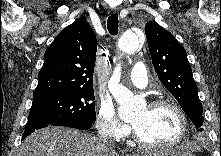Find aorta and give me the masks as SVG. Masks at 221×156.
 <instances>
[{
  "instance_id": "aorta-1",
  "label": "aorta",
  "mask_w": 221,
  "mask_h": 156,
  "mask_svg": "<svg viewBox=\"0 0 221 156\" xmlns=\"http://www.w3.org/2000/svg\"><path fill=\"white\" fill-rule=\"evenodd\" d=\"M140 44V37L132 31L124 32L119 40L118 47L123 53H133ZM121 67L118 65L111 76L108 87L114 99L118 102V115L123 120H130L135 112L144 106V101L120 84Z\"/></svg>"
}]
</instances>
